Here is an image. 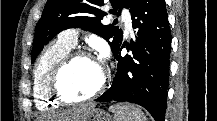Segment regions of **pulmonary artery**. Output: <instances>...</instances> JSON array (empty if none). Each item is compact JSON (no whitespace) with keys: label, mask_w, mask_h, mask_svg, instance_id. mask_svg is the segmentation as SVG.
Masks as SVG:
<instances>
[{"label":"pulmonary artery","mask_w":217,"mask_h":121,"mask_svg":"<svg viewBox=\"0 0 217 121\" xmlns=\"http://www.w3.org/2000/svg\"><path fill=\"white\" fill-rule=\"evenodd\" d=\"M122 21L124 22L126 32L132 33L133 27H132V19H131L130 14L127 12H123ZM78 34H79L78 29L71 28V29H67L64 32H62V34L60 35V38L64 42H66L72 46H75L77 43Z\"/></svg>","instance_id":"e3ab8cb5"}]
</instances>
